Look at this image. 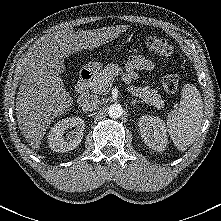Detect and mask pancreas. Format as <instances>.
I'll return each mask as SVG.
<instances>
[{"label":"pancreas","instance_id":"pancreas-1","mask_svg":"<svg viewBox=\"0 0 221 221\" xmlns=\"http://www.w3.org/2000/svg\"><path fill=\"white\" fill-rule=\"evenodd\" d=\"M119 74H121V68L119 65L110 63L94 75V78L88 87L93 94L102 95L106 92L109 83ZM128 92L158 109H161L164 106V101L161 99L158 91L151 89L150 86H130L128 87Z\"/></svg>","mask_w":221,"mask_h":221}]
</instances>
